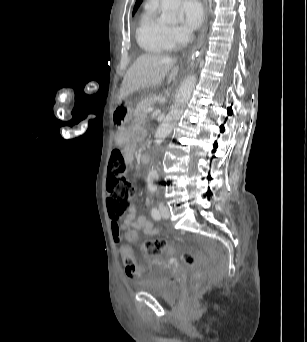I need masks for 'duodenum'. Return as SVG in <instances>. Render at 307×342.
<instances>
[{
    "label": "duodenum",
    "mask_w": 307,
    "mask_h": 342,
    "mask_svg": "<svg viewBox=\"0 0 307 342\" xmlns=\"http://www.w3.org/2000/svg\"><path fill=\"white\" fill-rule=\"evenodd\" d=\"M148 160H149V157L145 153H143L140 157V161L142 165H145L148 162Z\"/></svg>",
    "instance_id": "410a0bca"
}]
</instances>
